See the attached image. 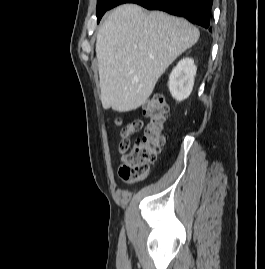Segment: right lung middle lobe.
<instances>
[{
  "label": "right lung middle lobe",
  "mask_w": 265,
  "mask_h": 269,
  "mask_svg": "<svg viewBox=\"0 0 265 269\" xmlns=\"http://www.w3.org/2000/svg\"><path fill=\"white\" fill-rule=\"evenodd\" d=\"M114 0H98L97 1V20L100 21L103 14L109 9Z\"/></svg>",
  "instance_id": "dd1d6c3e"
}]
</instances>
